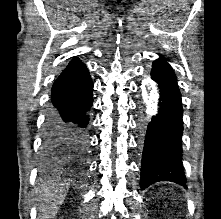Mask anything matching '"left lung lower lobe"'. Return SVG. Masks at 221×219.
I'll return each instance as SVG.
<instances>
[{
  "mask_svg": "<svg viewBox=\"0 0 221 219\" xmlns=\"http://www.w3.org/2000/svg\"><path fill=\"white\" fill-rule=\"evenodd\" d=\"M151 78L158 83V113L153 116L145 136L142 164V189L158 181L185 186L182 165V101L172 67L160 58L153 62Z\"/></svg>",
  "mask_w": 221,
  "mask_h": 219,
  "instance_id": "1",
  "label": "left lung lower lobe"
}]
</instances>
